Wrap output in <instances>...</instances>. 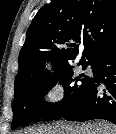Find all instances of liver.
Masks as SVG:
<instances>
[{
    "mask_svg": "<svg viewBox=\"0 0 116 134\" xmlns=\"http://www.w3.org/2000/svg\"><path fill=\"white\" fill-rule=\"evenodd\" d=\"M24 134H116V128L106 122L93 124H71L66 122L43 126Z\"/></svg>",
    "mask_w": 116,
    "mask_h": 134,
    "instance_id": "obj_1",
    "label": "liver"
}]
</instances>
